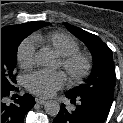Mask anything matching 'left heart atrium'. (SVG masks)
<instances>
[{"instance_id": "left-heart-atrium-1", "label": "left heart atrium", "mask_w": 123, "mask_h": 123, "mask_svg": "<svg viewBox=\"0 0 123 123\" xmlns=\"http://www.w3.org/2000/svg\"><path fill=\"white\" fill-rule=\"evenodd\" d=\"M66 83V76L61 71L38 70L26 77L27 89L40 97H50Z\"/></svg>"}]
</instances>
